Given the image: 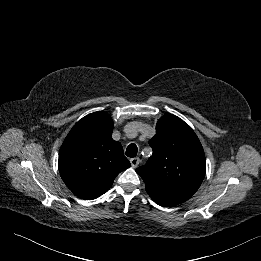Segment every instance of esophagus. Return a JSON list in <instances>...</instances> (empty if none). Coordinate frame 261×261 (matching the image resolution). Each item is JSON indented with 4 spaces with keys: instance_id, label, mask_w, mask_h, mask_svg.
Masks as SVG:
<instances>
[{
    "instance_id": "esophagus-1",
    "label": "esophagus",
    "mask_w": 261,
    "mask_h": 261,
    "mask_svg": "<svg viewBox=\"0 0 261 261\" xmlns=\"http://www.w3.org/2000/svg\"><path fill=\"white\" fill-rule=\"evenodd\" d=\"M140 159L138 157L131 158L130 163L133 168H136L139 165Z\"/></svg>"
}]
</instances>
